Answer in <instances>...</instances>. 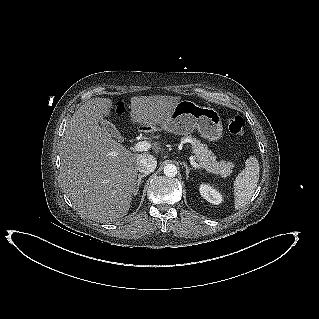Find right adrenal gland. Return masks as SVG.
I'll list each match as a JSON object with an SVG mask.
<instances>
[{"label": "right adrenal gland", "mask_w": 319, "mask_h": 319, "mask_svg": "<svg viewBox=\"0 0 319 319\" xmlns=\"http://www.w3.org/2000/svg\"><path fill=\"white\" fill-rule=\"evenodd\" d=\"M146 177L145 174L143 175H138V179H137V182L134 186V195H137L138 191H139V186L141 185V182H142V178Z\"/></svg>", "instance_id": "obj_1"}]
</instances>
